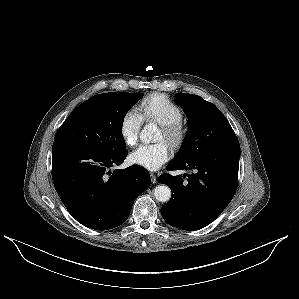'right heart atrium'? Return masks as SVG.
I'll return each instance as SVG.
<instances>
[{"mask_svg": "<svg viewBox=\"0 0 299 299\" xmlns=\"http://www.w3.org/2000/svg\"><path fill=\"white\" fill-rule=\"evenodd\" d=\"M142 123L143 119L140 113L134 108L123 114L120 121V134L126 145L133 146L136 144Z\"/></svg>", "mask_w": 299, "mask_h": 299, "instance_id": "1", "label": "right heart atrium"}]
</instances>
